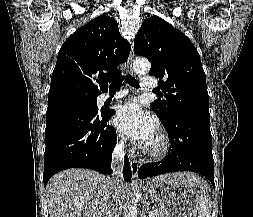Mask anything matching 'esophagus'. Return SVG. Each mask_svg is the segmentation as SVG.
I'll list each match as a JSON object with an SVG mask.
<instances>
[{"instance_id":"34e87169","label":"esophagus","mask_w":253,"mask_h":217,"mask_svg":"<svg viewBox=\"0 0 253 217\" xmlns=\"http://www.w3.org/2000/svg\"><path fill=\"white\" fill-rule=\"evenodd\" d=\"M134 59V50H133V45L127 60V69L129 74L134 75V70L132 67V62ZM129 160H130V166H131V171H132V177L136 179L138 177V171H139V162L135 158V152L134 150L129 151Z\"/></svg>"}]
</instances>
